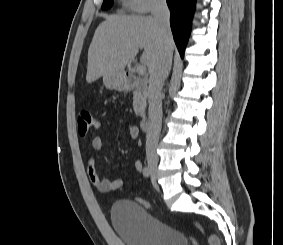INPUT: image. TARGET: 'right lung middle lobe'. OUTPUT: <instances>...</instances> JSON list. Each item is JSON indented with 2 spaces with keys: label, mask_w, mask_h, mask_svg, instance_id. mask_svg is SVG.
I'll use <instances>...</instances> for the list:
<instances>
[{
  "label": "right lung middle lobe",
  "mask_w": 283,
  "mask_h": 245,
  "mask_svg": "<svg viewBox=\"0 0 283 245\" xmlns=\"http://www.w3.org/2000/svg\"><path fill=\"white\" fill-rule=\"evenodd\" d=\"M113 0H104L102 4V9L107 10L112 6Z\"/></svg>",
  "instance_id": "1"
}]
</instances>
